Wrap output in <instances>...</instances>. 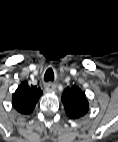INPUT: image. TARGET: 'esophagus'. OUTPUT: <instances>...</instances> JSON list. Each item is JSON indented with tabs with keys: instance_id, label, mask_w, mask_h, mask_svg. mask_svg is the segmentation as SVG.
Listing matches in <instances>:
<instances>
[{
	"instance_id": "esophagus-1",
	"label": "esophagus",
	"mask_w": 118,
	"mask_h": 142,
	"mask_svg": "<svg viewBox=\"0 0 118 142\" xmlns=\"http://www.w3.org/2000/svg\"><path fill=\"white\" fill-rule=\"evenodd\" d=\"M45 90L48 91V92L55 91L56 85L51 83V82H48V83L45 84Z\"/></svg>"
}]
</instances>
